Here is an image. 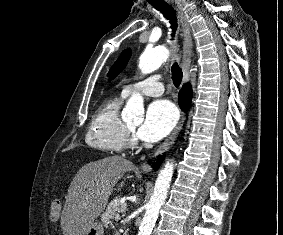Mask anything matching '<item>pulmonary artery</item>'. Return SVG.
<instances>
[{
    "label": "pulmonary artery",
    "instance_id": "e3ab8cb5",
    "mask_svg": "<svg viewBox=\"0 0 283 235\" xmlns=\"http://www.w3.org/2000/svg\"><path fill=\"white\" fill-rule=\"evenodd\" d=\"M164 92V85L159 81L157 75L150 76L141 81L127 85L122 90L123 98L129 97L135 93H141L145 96H160Z\"/></svg>",
    "mask_w": 283,
    "mask_h": 235
}]
</instances>
